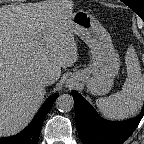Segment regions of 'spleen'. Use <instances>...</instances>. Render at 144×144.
<instances>
[{"mask_svg": "<svg viewBox=\"0 0 144 144\" xmlns=\"http://www.w3.org/2000/svg\"><path fill=\"white\" fill-rule=\"evenodd\" d=\"M140 70L138 61L131 58L127 63V78L122 90L96 100L98 109L105 117L121 120L139 110L144 100V78Z\"/></svg>", "mask_w": 144, "mask_h": 144, "instance_id": "spleen-1", "label": "spleen"}]
</instances>
